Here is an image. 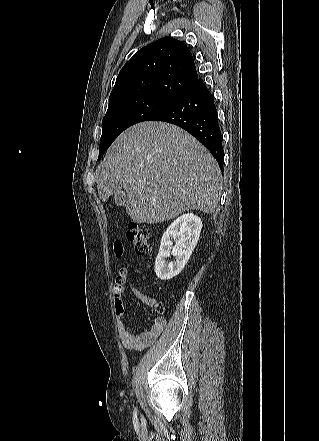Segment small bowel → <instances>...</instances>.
<instances>
[{
  "instance_id": "c3829d8e",
  "label": "small bowel",
  "mask_w": 319,
  "mask_h": 441,
  "mask_svg": "<svg viewBox=\"0 0 319 441\" xmlns=\"http://www.w3.org/2000/svg\"><path fill=\"white\" fill-rule=\"evenodd\" d=\"M114 253L116 257H121L123 254V246L121 243H116L114 246ZM128 279V272L125 268H120L117 272L116 282L113 286L114 309L116 315V325L118 336L122 344L129 349L143 350L151 346L162 335L166 320L163 317H158L154 320L152 326L141 333L134 334L126 326L125 323V305L123 301L124 285ZM131 292L134 297L147 306L157 305L156 300L140 291L136 286L130 284Z\"/></svg>"
}]
</instances>
